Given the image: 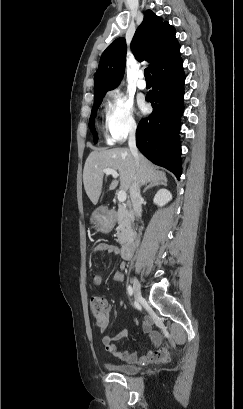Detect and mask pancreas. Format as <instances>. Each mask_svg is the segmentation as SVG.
Here are the masks:
<instances>
[{
	"mask_svg": "<svg viewBox=\"0 0 243 409\" xmlns=\"http://www.w3.org/2000/svg\"><path fill=\"white\" fill-rule=\"evenodd\" d=\"M118 226H117V237L120 244L128 242L133 235V217L128 211L127 206L119 205L118 211L116 213Z\"/></svg>",
	"mask_w": 243,
	"mask_h": 409,
	"instance_id": "obj_1",
	"label": "pancreas"
}]
</instances>
